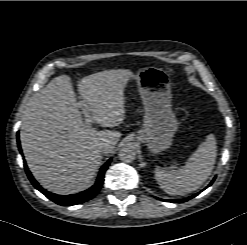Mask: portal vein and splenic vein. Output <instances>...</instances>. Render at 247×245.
<instances>
[{"instance_id":"1","label":"portal vein and splenic vein","mask_w":247,"mask_h":245,"mask_svg":"<svg viewBox=\"0 0 247 245\" xmlns=\"http://www.w3.org/2000/svg\"><path fill=\"white\" fill-rule=\"evenodd\" d=\"M80 106L82 107V112H83V114L85 116V124H86V126L87 127H91L92 120L90 118V113H89L90 109H89V107L87 106L85 101H81L80 102Z\"/></svg>"}]
</instances>
